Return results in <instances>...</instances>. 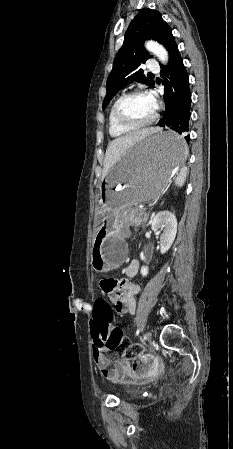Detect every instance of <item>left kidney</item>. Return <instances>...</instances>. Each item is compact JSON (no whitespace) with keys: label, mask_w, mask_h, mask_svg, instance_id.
<instances>
[{"label":"left kidney","mask_w":233,"mask_h":449,"mask_svg":"<svg viewBox=\"0 0 233 449\" xmlns=\"http://www.w3.org/2000/svg\"><path fill=\"white\" fill-rule=\"evenodd\" d=\"M151 227L156 232L162 230L159 240L160 252L161 254L166 253L174 242L177 233V219L175 215L169 211L159 212L151 220ZM140 272L142 276H147L149 272L148 267L143 266Z\"/></svg>","instance_id":"left-kidney-1"}]
</instances>
